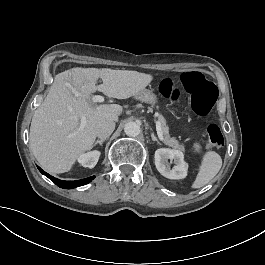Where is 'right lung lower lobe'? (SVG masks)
Segmentation results:
<instances>
[{"label": "right lung lower lobe", "mask_w": 265, "mask_h": 265, "mask_svg": "<svg viewBox=\"0 0 265 265\" xmlns=\"http://www.w3.org/2000/svg\"><path fill=\"white\" fill-rule=\"evenodd\" d=\"M38 169L40 170L42 174H44L46 177L52 180L57 186L64 188V189H71V188L85 185L91 182L95 178V176H92V177L82 179V180H77V181H62V180H59L57 178L50 176L48 173L44 172L41 168L38 167Z\"/></svg>", "instance_id": "98d812e1"}]
</instances>
